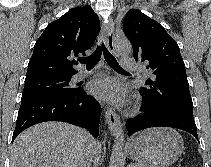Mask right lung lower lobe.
Wrapping results in <instances>:
<instances>
[{
  "label": "right lung lower lobe",
  "instance_id": "obj_1",
  "mask_svg": "<svg viewBox=\"0 0 211 167\" xmlns=\"http://www.w3.org/2000/svg\"><path fill=\"white\" fill-rule=\"evenodd\" d=\"M101 107L82 88L66 94L22 97L12 142L25 129L46 121H62L86 128L98 136Z\"/></svg>",
  "mask_w": 211,
  "mask_h": 167
}]
</instances>
